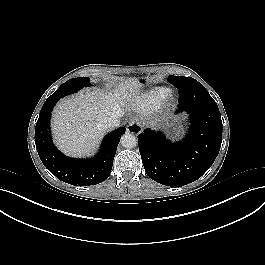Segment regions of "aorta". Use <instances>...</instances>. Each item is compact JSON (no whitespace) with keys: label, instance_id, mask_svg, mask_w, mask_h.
I'll return each instance as SVG.
<instances>
[{"label":"aorta","instance_id":"762f6f07","mask_svg":"<svg viewBox=\"0 0 265 265\" xmlns=\"http://www.w3.org/2000/svg\"><path fill=\"white\" fill-rule=\"evenodd\" d=\"M120 142L123 147L131 149L137 145V138L131 133H125L122 135Z\"/></svg>","mask_w":265,"mask_h":265}]
</instances>
